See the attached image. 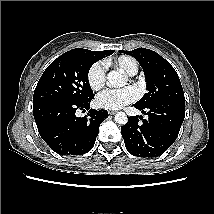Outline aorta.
<instances>
[{
	"mask_svg": "<svg viewBox=\"0 0 214 214\" xmlns=\"http://www.w3.org/2000/svg\"><path fill=\"white\" fill-rule=\"evenodd\" d=\"M108 86L122 87L126 84L125 78L117 71H111L108 74ZM115 121L120 125H125L128 121L127 115L124 112H117L115 114Z\"/></svg>",
	"mask_w": 214,
	"mask_h": 214,
	"instance_id": "1",
	"label": "aorta"
}]
</instances>
